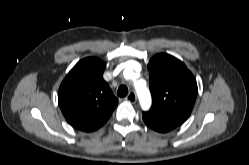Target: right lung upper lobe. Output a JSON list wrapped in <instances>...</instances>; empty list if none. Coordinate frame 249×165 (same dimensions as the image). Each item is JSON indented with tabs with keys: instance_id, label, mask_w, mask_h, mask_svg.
Here are the masks:
<instances>
[{
	"instance_id": "1",
	"label": "right lung upper lobe",
	"mask_w": 249,
	"mask_h": 165,
	"mask_svg": "<svg viewBox=\"0 0 249 165\" xmlns=\"http://www.w3.org/2000/svg\"><path fill=\"white\" fill-rule=\"evenodd\" d=\"M106 63L98 58L79 61L62 81L58 103L68 123L90 132L104 125L118 99L103 79Z\"/></svg>"
}]
</instances>
